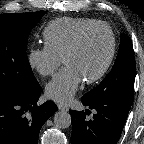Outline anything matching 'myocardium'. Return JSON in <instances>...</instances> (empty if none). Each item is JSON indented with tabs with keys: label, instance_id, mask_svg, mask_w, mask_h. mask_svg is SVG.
<instances>
[{
	"label": "myocardium",
	"instance_id": "myocardium-1",
	"mask_svg": "<svg viewBox=\"0 0 144 144\" xmlns=\"http://www.w3.org/2000/svg\"><path fill=\"white\" fill-rule=\"evenodd\" d=\"M98 28H105L108 30L110 37H111V48H110V52L107 57V60L104 63L103 67L100 69V71L97 74H95L94 76L84 80L85 83H87V84H93V83H96L99 80H101L105 76V74L108 72V70L114 60V57L116 54V49H117V39H116V35H115L113 28L108 23L102 22V21H99V22H96L94 24L84 27L77 33V35L75 36V38L73 39V41L71 42V44L69 45V47L67 48V50L63 56V60H64V62H66L67 59L78 49V47L82 43L85 36L89 32H91L95 29H98Z\"/></svg>",
	"mask_w": 144,
	"mask_h": 144
}]
</instances>
